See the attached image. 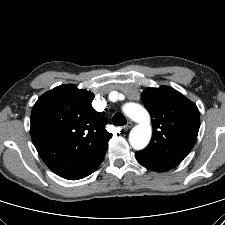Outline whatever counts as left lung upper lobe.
I'll use <instances>...</instances> for the list:
<instances>
[{"label":"left lung upper lobe","mask_w":225,"mask_h":225,"mask_svg":"<svg viewBox=\"0 0 225 225\" xmlns=\"http://www.w3.org/2000/svg\"><path fill=\"white\" fill-rule=\"evenodd\" d=\"M142 101L151 115L153 136L150 144L136 154L161 168L172 169L196 142L200 127L198 108L167 86L145 89Z\"/></svg>","instance_id":"5c2ea615"}]
</instances>
